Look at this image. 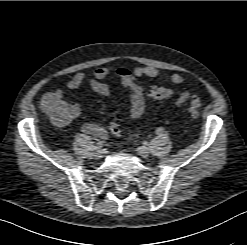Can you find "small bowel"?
Returning <instances> with one entry per match:
<instances>
[{"label": "small bowel", "mask_w": 247, "mask_h": 245, "mask_svg": "<svg viewBox=\"0 0 247 245\" xmlns=\"http://www.w3.org/2000/svg\"><path fill=\"white\" fill-rule=\"evenodd\" d=\"M112 73H115L120 78L122 88L126 92L130 101L129 117L132 120L141 118L145 112L146 101L144 88L138 83V79L141 77H160L161 71L154 66H139L133 69H128L126 67H98L92 71L76 73L68 80L66 85L69 89H77L83 83H88L90 88L98 95L109 96L112 92V85L105 82L104 79ZM159 82L162 84H187V78L182 74L173 73L169 76L161 77ZM190 95V88H185L176 98L175 104L177 106H183L189 100ZM50 97L64 99L61 90L48 92L44 94L41 99L42 107ZM68 105L70 110L68 122H70L81 114V107L78 103L74 102H68ZM81 131L84 134L96 136L101 140H106L108 138L107 130L98 124L85 123L81 126Z\"/></svg>", "instance_id": "1"}]
</instances>
